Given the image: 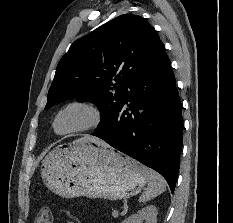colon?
Masks as SVG:
<instances>
[{"instance_id": "5ec220e1", "label": "colon", "mask_w": 233, "mask_h": 223, "mask_svg": "<svg viewBox=\"0 0 233 223\" xmlns=\"http://www.w3.org/2000/svg\"><path fill=\"white\" fill-rule=\"evenodd\" d=\"M37 223H51V213L47 208L40 211Z\"/></svg>"}]
</instances>
